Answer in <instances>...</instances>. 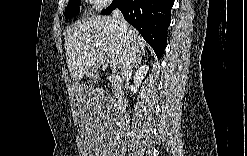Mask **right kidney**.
<instances>
[{
  "label": "right kidney",
  "mask_w": 247,
  "mask_h": 156,
  "mask_svg": "<svg viewBox=\"0 0 247 156\" xmlns=\"http://www.w3.org/2000/svg\"><path fill=\"white\" fill-rule=\"evenodd\" d=\"M149 67L147 65L141 66L134 75V84L138 88L144 79V75L147 74Z\"/></svg>",
  "instance_id": "obj_1"
}]
</instances>
